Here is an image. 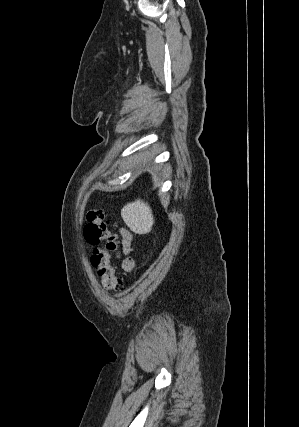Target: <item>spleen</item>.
Segmentation results:
<instances>
[{"mask_svg":"<svg viewBox=\"0 0 299 427\" xmlns=\"http://www.w3.org/2000/svg\"><path fill=\"white\" fill-rule=\"evenodd\" d=\"M121 216L130 230L138 234L149 233L154 224L150 206L140 199L125 205L121 210Z\"/></svg>","mask_w":299,"mask_h":427,"instance_id":"obj_1","label":"spleen"}]
</instances>
